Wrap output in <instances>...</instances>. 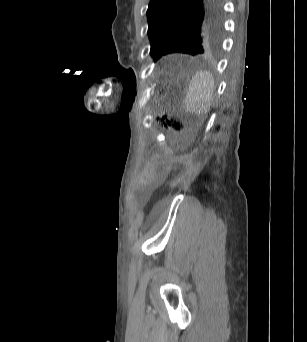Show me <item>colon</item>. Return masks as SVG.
Instances as JSON below:
<instances>
[{
    "instance_id": "1",
    "label": "colon",
    "mask_w": 307,
    "mask_h": 342,
    "mask_svg": "<svg viewBox=\"0 0 307 342\" xmlns=\"http://www.w3.org/2000/svg\"><path fill=\"white\" fill-rule=\"evenodd\" d=\"M159 94H170V87H159ZM155 123L158 127H163L171 130L173 133L179 134L185 130V124L176 116L161 113L156 116Z\"/></svg>"
}]
</instances>
